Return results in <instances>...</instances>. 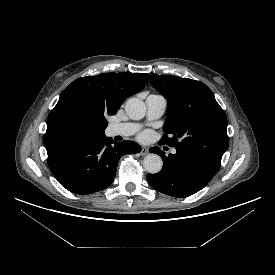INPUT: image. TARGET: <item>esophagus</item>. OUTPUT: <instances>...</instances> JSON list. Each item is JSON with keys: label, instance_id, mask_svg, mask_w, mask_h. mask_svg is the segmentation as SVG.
Wrapping results in <instances>:
<instances>
[{"label": "esophagus", "instance_id": "34e87169", "mask_svg": "<svg viewBox=\"0 0 275 275\" xmlns=\"http://www.w3.org/2000/svg\"><path fill=\"white\" fill-rule=\"evenodd\" d=\"M141 155H143V156H145V155H147L148 153H149V151H148V149L146 148V147H143L142 149H141Z\"/></svg>", "mask_w": 275, "mask_h": 275}]
</instances>
